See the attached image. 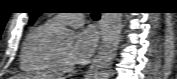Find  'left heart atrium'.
<instances>
[{
	"instance_id": "39dd6f15",
	"label": "left heart atrium",
	"mask_w": 177,
	"mask_h": 79,
	"mask_svg": "<svg viewBox=\"0 0 177 79\" xmlns=\"http://www.w3.org/2000/svg\"><path fill=\"white\" fill-rule=\"evenodd\" d=\"M97 33L91 29L80 30L75 39V43L70 51V59L73 63H84L93 54L97 47Z\"/></svg>"
}]
</instances>
